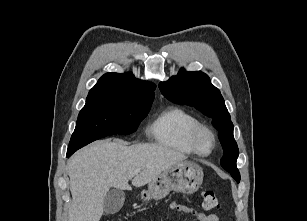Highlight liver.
<instances>
[{
  "label": "liver",
  "mask_w": 307,
  "mask_h": 221,
  "mask_svg": "<svg viewBox=\"0 0 307 221\" xmlns=\"http://www.w3.org/2000/svg\"><path fill=\"white\" fill-rule=\"evenodd\" d=\"M187 157L157 144L97 141L74 154L67 162L72 203L68 221H99L109 189L129 190L128 175L139 171L132 185L141 187Z\"/></svg>",
  "instance_id": "6515ba94"
}]
</instances>
